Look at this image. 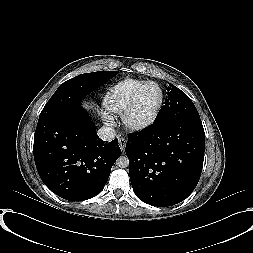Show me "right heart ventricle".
<instances>
[{"label": "right heart ventricle", "mask_w": 253, "mask_h": 253, "mask_svg": "<svg viewBox=\"0 0 253 253\" xmlns=\"http://www.w3.org/2000/svg\"><path fill=\"white\" fill-rule=\"evenodd\" d=\"M144 80L126 78L113 84L104 96V107L108 112L122 114L135 90Z\"/></svg>", "instance_id": "e07e8e85"}]
</instances>
